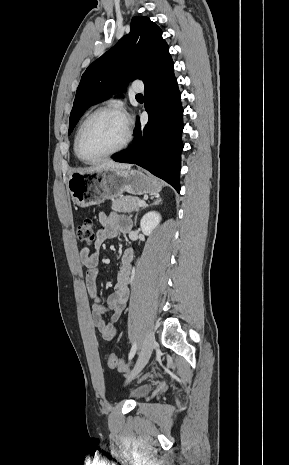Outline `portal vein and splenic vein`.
<instances>
[{"label": "portal vein and splenic vein", "instance_id": "obj_1", "mask_svg": "<svg viewBox=\"0 0 289 465\" xmlns=\"http://www.w3.org/2000/svg\"><path fill=\"white\" fill-rule=\"evenodd\" d=\"M138 204H139L140 206H144L146 203H145L144 200H140V201L138 202Z\"/></svg>", "mask_w": 289, "mask_h": 465}]
</instances>
